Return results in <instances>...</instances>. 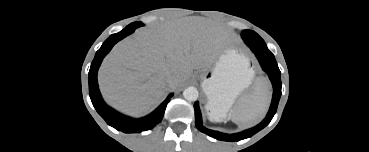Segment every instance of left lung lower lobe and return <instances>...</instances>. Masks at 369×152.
Here are the masks:
<instances>
[{
	"label": "left lung lower lobe",
	"mask_w": 369,
	"mask_h": 152,
	"mask_svg": "<svg viewBox=\"0 0 369 152\" xmlns=\"http://www.w3.org/2000/svg\"><path fill=\"white\" fill-rule=\"evenodd\" d=\"M250 49L255 53L262 69L269 75V78L273 85V98H272L269 112L266 118L260 124H258L257 126L251 129H248L243 132L236 133V134H224L218 131H212V130L206 129L205 127L202 126V117H201L199 105H198V102H195L194 104L195 124H196L197 129L215 139L233 142V141H239V140L251 137L258 131L266 127L272 120L274 114L276 113L277 106H278L280 96H281V86H282L281 78H280L281 72L278 68L276 60L272 53L264 52L263 48L260 45L251 44Z\"/></svg>",
	"instance_id": "0a47b994"
}]
</instances>
